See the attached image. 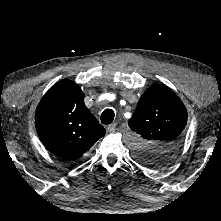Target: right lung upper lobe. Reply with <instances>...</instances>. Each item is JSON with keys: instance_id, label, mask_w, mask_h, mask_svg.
Here are the masks:
<instances>
[{"instance_id": "cb5924a9", "label": "right lung upper lobe", "mask_w": 221, "mask_h": 221, "mask_svg": "<svg viewBox=\"0 0 221 221\" xmlns=\"http://www.w3.org/2000/svg\"><path fill=\"white\" fill-rule=\"evenodd\" d=\"M35 125L45 147L74 161L83 156L106 131L84 104V93L67 79L57 82L38 104Z\"/></svg>"}]
</instances>
